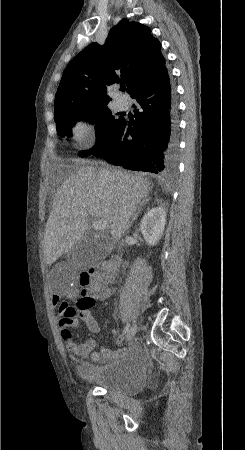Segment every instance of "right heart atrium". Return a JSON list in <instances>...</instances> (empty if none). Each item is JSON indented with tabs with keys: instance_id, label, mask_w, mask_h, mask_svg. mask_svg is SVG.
<instances>
[{
	"instance_id": "1",
	"label": "right heart atrium",
	"mask_w": 245,
	"mask_h": 450,
	"mask_svg": "<svg viewBox=\"0 0 245 450\" xmlns=\"http://www.w3.org/2000/svg\"><path fill=\"white\" fill-rule=\"evenodd\" d=\"M73 134L77 142L82 145H87L92 139L93 130L89 124L85 122H77L73 127Z\"/></svg>"
}]
</instances>
